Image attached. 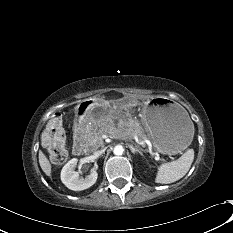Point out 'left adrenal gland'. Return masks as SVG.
<instances>
[{
	"label": "left adrenal gland",
	"instance_id": "obj_1",
	"mask_svg": "<svg viewBox=\"0 0 233 233\" xmlns=\"http://www.w3.org/2000/svg\"><path fill=\"white\" fill-rule=\"evenodd\" d=\"M129 148L133 154L139 153L141 156H143L142 150L141 148H138V146L134 147L133 145H129Z\"/></svg>",
	"mask_w": 233,
	"mask_h": 233
}]
</instances>
